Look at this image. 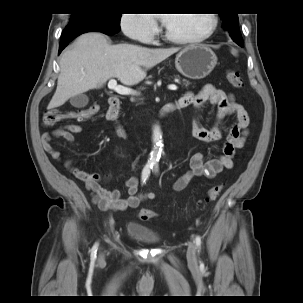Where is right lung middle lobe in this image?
Segmentation results:
<instances>
[{
  "mask_svg": "<svg viewBox=\"0 0 303 303\" xmlns=\"http://www.w3.org/2000/svg\"><path fill=\"white\" fill-rule=\"evenodd\" d=\"M121 14L119 13H97V12H84L72 14L71 20L67 27L73 26L82 22L88 21H104L111 24L120 25Z\"/></svg>",
  "mask_w": 303,
  "mask_h": 303,
  "instance_id": "right-lung-middle-lobe-1",
  "label": "right lung middle lobe"
}]
</instances>
